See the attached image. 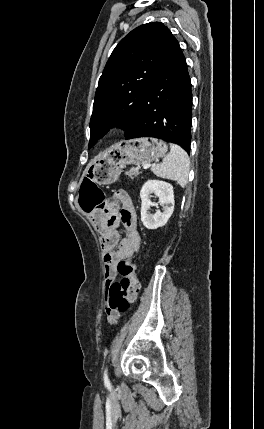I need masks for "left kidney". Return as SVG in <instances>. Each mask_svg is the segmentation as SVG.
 Masks as SVG:
<instances>
[{
	"mask_svg": "<svg viewBox=\"0 0 264 429\" xmlns=\"http://www.w3.org/2000/svg\"><path fill=\"white\" fill-rule=\"evenodd\" d=\"M154 193L159 198V204L163 206V212L159 210L151 215L148 210L151 206H158L150 200V194ZM141 197V221L147 229H157L164 226L174 211V192L171 184L160 180H148L142 186Z\"/></svg>",
	"mask_w": 264,
	"mask_h": 429,
	"instance_id": "left-kidney-1",
	"label": "left kidney"
}]
</instances>
